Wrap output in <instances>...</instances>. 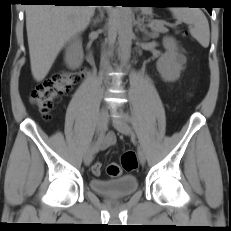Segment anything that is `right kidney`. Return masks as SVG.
<instances>
[{"label":"right kidney","mask_w":231,"mask_h":231,"mask_svg":"<svg viewBox=\"0 0 231 231\" xmlns=\"http://www.w3.org/2000/svg\"><path fill=\"white\" fill-rule=\"evenodd\" d=\"M66 64L72 68H78L83 62V50L81 39L75 38L71 45L66 50Z\"/></svg>","instance_id":"obj_1"}]
</instances>
